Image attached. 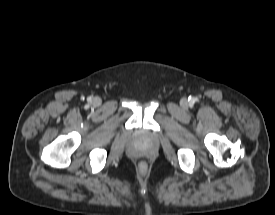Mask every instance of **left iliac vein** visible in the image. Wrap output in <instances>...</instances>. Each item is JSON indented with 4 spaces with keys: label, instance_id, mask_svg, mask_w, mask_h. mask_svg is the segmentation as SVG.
<instances>
[{
    "label": "left iliac vein",
    "instance_id": "obj_1",
    "mask_svg": "<svg viewBox=\"0 0 275 215\" xmlns=\"http://www.w3.org/2000/svg\"><path fill=\"white\" fill-rule=\"evenodd\" d=\"M182 105H183V107H186V106H187V101H186V100H183V101H182Z\"/></svg>",
    "mask_w": 275,
    "mask_h": 215
}]
</instances>
